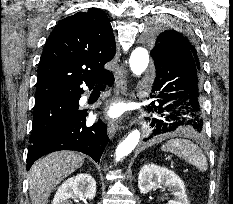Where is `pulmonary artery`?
Returning <instances> with one entry per match:
<instances>
[{
    "mask_svg": "<svg viewBox=\"0 0 233 204\" xmlns=\"http://www.w3.org/2000/svg\"><path fill=\"white\" fill-rule=\"evenodd\" d=\"M82 101H83V102L86 101V97H82Z\"/></svg>",
    "mask_w": 233,
    "mask_h": 204,
    "instance_id": "e3ab8cb5",
    "label": "pulmonary artery"
}]
</instances>
